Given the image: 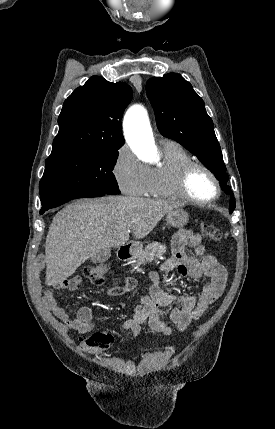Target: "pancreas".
Wrapping results in <instances>:
<instances>
[{
	"mask_svg": "<svg viewBox=\"0 0 275 429\" xmlns=\"http://www.w3.org/2000/svg\"><path fill=\"white\" fill-rule=\"evenodd\" d=\"M166 246L158 242H152L145 247V250L137 256V265L151 262L156 257L164 255Z\"/></svg>",
	"mask_w": 275,
	"mask_h": 429,
	"instance_id": "obj_1",
	"label": "pancreas"
}]
</instances>
